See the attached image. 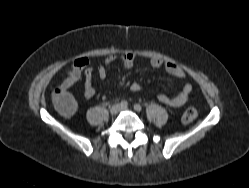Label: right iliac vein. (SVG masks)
Here are the masks:
<instances>
[{
	"instance_id": "1",
	"label": "right iliac vein",
	"mask_w": 249,
	"mask_h": 188,
	"mask_svg": "<svg viewBox=\"0 0 249 188\" xmlns=\"http://www.w3.org/2000/svg\"><path fill=\"white\" fill-rule=\"evenodd\" d=\"M118 111H119V105H117V104L113 105V106L110 108V113H111L112 115L117 114Z\"/></svg>"
}]
</instances>
